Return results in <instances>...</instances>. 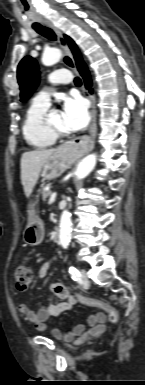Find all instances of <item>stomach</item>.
Returning <instances> with one entry per match:
<instances>
[{
  "label": "stomach",
  "instance_id": "stomach-1",
  "mask_svg": "<svg viewBox=\"0 0 145 385\" xmlns=\"http://www.w3.org/2000/svg\"><path fill=\"white\" fill-rule=\"evenodd\" d=\"M75 161V153L60 146L45 162L41 169V177L44 180H52L62 175ZM29 220L24 230V241L30 246L39 245L44 238V225L36 215L34 204L29 205Z\"/></svg>",
  "mask_w": 145,
  "mask_h": 385
}]
</instances>
